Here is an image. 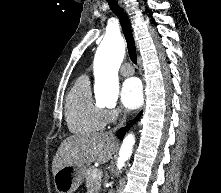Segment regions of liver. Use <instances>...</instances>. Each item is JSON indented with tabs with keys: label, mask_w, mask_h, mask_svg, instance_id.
I'll return each instance as SVG.
<instances>
[{
	"label": "liver",
	"mask_w": 221,
	"mask_h": 193,
	"mask_svg": "<svg viewBox=\"0 0 221 193\" xmlns=\"http://www.w3.org/2000/svg\"><path fill=\"white\" fill-rule=\"evenodd\" d=\"M116 140L111 132L74 135L66 138L59 146L52 162V172L67 165H84L97 161L106 163L114 154Z\"/></svg>",
	"instance_id": "obj_1"
}]
</instances>
